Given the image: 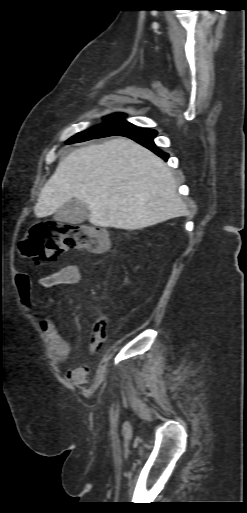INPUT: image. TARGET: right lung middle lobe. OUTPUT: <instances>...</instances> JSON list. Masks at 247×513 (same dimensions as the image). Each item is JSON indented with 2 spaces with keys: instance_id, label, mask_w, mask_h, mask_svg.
<instances>
[{
  "instance_id": "obj_1",
  "label": "right lung middle lobe",
  "mask_w": 247,
  "mask_h": 513,
  "mask_svg": "<svg viewBox=\"0 0 247 513\" xmlns=\"http://www.w3.org/2000/svg\"><path fill=\"white\" fill-rule=\"evenodd\" d=\"M123 116L124 114H114L108 116L107 118L110 119L108 122H105L104 124L96 126L90 130L77 133L75 136L71 137L67 142L70 144L90 139L112 136L130 127H133L134 125L123 119Z\"/></svg>"
}]
</instances>
